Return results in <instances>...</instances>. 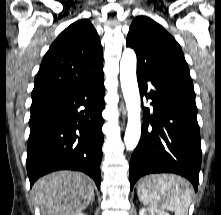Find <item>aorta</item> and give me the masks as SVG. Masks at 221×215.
<instances>
[{
  "label": "aorta",
  "mask_w": 221,
  "mask_h": 215,
  "mask_svg": "<svg viewBox=\"0 0 221 215\" xmlns=\"http://www.w3.org/2000/svg\"><path fill=\"white\" fill-rule=\"evenodd\" d=\"M136 64L137 59L134 50L124 49L120 61V80L128 112V122L124 136L127 150L135 149L141 135V103L136 77Z\"/></svg>",
  "instance_id": "aorta-1"
}]
</instances>
